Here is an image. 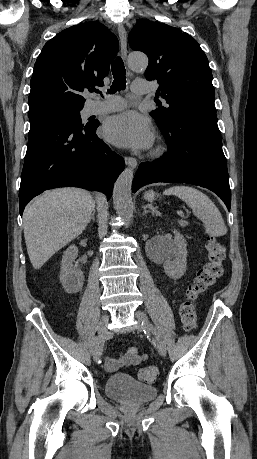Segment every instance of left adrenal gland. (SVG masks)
<instances>
[{"instance_id":"obj_1","label":"left adrenal gland","mask_w":257,"mask_h":459,"mask_svg":"<svg viewBox=\"0 0 257 459\" xmlns=\"http://www.w3.org/2000/svg\"><path fill=\"white\" fill-rule=\"evenodd\" d=\"M147 213H151L152 215H154V214L158 215L159 212L154 207L149 206V205H145V206H143V215H145Z\"/></svg>"}]
</instances>
